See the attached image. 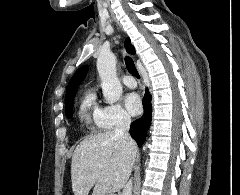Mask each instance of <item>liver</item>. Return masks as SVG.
Wrapping results in <instances>:
<instances>
[{
    "label": "liver",
    "mask_w": 240,
    "mask_h": 195,
    "mask_svg": "<svg viewBox=\"0 0 240 195\" xmlns=\"http://www.w3.org/2000/svg\"><path fill=\"white\" fill-rule=\"evenodd\" d=\"M138 147L115 137L114 131L88 135L73 151L71 181L74 195H88L91 187L113 193L124 187Z\"/></svg>",
    "instance_id": "obj_1"
}]
</instances>
